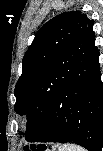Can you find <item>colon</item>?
Here are the masks:
<instances>
[{
    "mask_svg": "<svg viewBox=\"0 0 103 151\" xmlns=\"http://www.w3.org/2000/svg\"><path fill=\"white\" fill-rule=\"evenodd\" d=\"M24 151H46V150L42 147H39V148H32V149L25 148Z\"/></svg>",
    "mask_w": 103,
    "mask_h": 151,
    "instance_id": "colon-1",
    "label": "colon"
}]
</instances>
